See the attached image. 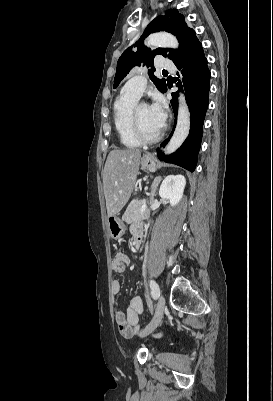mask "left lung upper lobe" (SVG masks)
<instances>
[{"instance_id":"5c2ea615","label":"left lung upper lobe","mask_w":273,"mask_h":401,"mask_svg":"<svg viewBox=\"0 0 273 401\" xmlns=\"http://www.w3.org/2000/svg\"><path fill=\"white\" fill-rule=\"evenodd\" d=\"M158 31H166L175 35L179 41L178 49L170 48H157L151 51L146 48L143 44V40L149 34ZM198 39L195 31L192 28L187 27L185 17L178 13L176 9H170L165 12V15L156 17L145 29L143 35L138 42L135 43L138 49L136 52L132 51V47L126 49L120 56L117 62L116 75L114 78V88L120 83V81L127 75L132 67L144 62L143 65L151 67L148 71L151 80L156 85L160 92H164L167 88L166 80L157 79L154 76L155 68L153 67V59L156 55H163L174 61L181 53L186 51L192 46Z\"/></svg>"}]
</instances>
